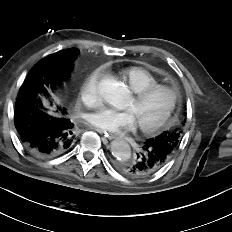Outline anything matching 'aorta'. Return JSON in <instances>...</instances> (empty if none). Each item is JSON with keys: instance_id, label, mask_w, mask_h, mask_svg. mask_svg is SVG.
I'll return each instance as SVG.
<instances>
[{"instance_id": "762f6f07", "label": "aorta", "mask_w": 232, "mask_h": 232, "mask_svg": "<svg viewBox=\"0 0 232 232\" xmlns=\"http://www.w3.org/2000/svg\"><path fill=\"white\" fill-rule=\"evenodd\" d=\"M99 89L106 102L117 109H124L130 99L127 87L112 78L101 80ZM111 153L118 160L125 161L131 156L130 145L122 139L111 142Z\"/></svg>"}]
</instances>
